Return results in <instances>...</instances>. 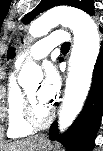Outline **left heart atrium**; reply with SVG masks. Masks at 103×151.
<instances>
[{
	"mask_svg": "<svg viewBox=\"0 0 103 151\" xmlns=\"http://www.w3.org/2000/svg\"><path fill=\"white\" fill-rule=\"evenodd\" d=\"M60 79L56 70L52 67L46 68L45 80L41 84L38 98L41 103L50 106L59 92Z\"/></svg>",
	"mask_w": 103,
	"mask_h": 151,
	"instance_id": "39dd6f15",
	"label": "left heart atrium"
}]
</instances>
